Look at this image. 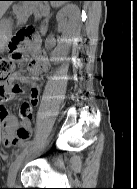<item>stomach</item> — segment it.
<instances>
[{
    "label": "stomach",
    "mask_w": 137,
    "mask_h": 189,
    "mask_svg": "<svg viewBox=\"0 0 137 189\" xmlns=\"http://www.w3.org/2000/svg\"><path fill=\"white\" fill-rule=\"evenodd\" d=\"M39 3V2H33ZM38 5V4H37ZM26 7V6H23ZM42 13L45 14V11L42 10ZM11 32V22L8 19L0 20V42H6Z\"/></svg>",
    "instance_id": "stomach-1"
}]
</instances>
